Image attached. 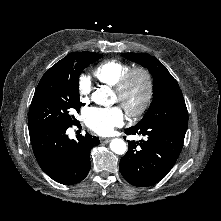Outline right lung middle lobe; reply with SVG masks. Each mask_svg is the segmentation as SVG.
Listing matches in <instances>:
<instances>
[{"label":"right lung middle lobe","mask_w":221,"mask_h":221,"mask_svg":"<svg viewBox=\"0 0 221 221\" xmlns=\"http://www.w3.org/2000/svg\"><path fill=\"white\" fill-rule=\"evenodd\" d=\"M102 54L74 52L58 61L41 78L28 114V128L39 130L78 123L73 113L80 111L79 76Z\"/></svg>","instance_id":"1"}]
</instances>
